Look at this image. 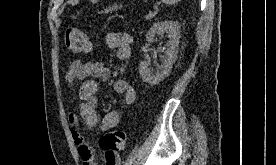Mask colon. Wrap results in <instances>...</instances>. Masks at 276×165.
Here are the masks:
<instances>
[{"instance_id":"5ec220e1","label":"colon","mask_w":276,"mask_h":165,"mask_svg":"<svg viewBox=\"0 0 276 165\" xmlns=\"http://www.w3.org/2000/svg\"><path fill=\"white\" fill-rule=\"evenodd\" d=\"M66 48L73 53H83L90 50V41L87 35L79 28L71 27L65 32ZM127 143V134L124 131L107 132L100 138V147L109 157L121 152Z\"/></svg>"}]
</instances>
